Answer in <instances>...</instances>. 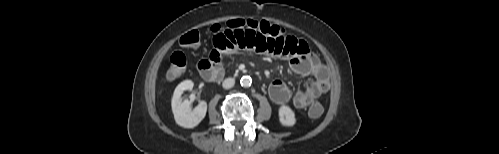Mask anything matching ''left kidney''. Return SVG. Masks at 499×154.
Instances as JSON below:
<instances>
[{
    "mask_svg": "<svg viewBox=\"0 0 499 154\" xmlns=\"http://www.w3.org/2000/svg\"><path fill=\"white\" fill-rule=\"evenodd\" d=\"M279 121L284 126H293L296 123L294 111L286 105L279 108Z\"/></svg>",
    "mask_w": 499,
    "mask_h": 154,
    "instance_id": "obj_1",
    "label": "left kidney"
}]
</instances>
